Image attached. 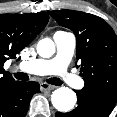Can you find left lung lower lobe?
Instances as JSON below:
<instances>
[{
  "label": "left lung lower lobe",
  "mask_w": 117,
  "mask_h": 117,
  "mask_svg": "<svg viewBox=\"0 0 117 117\" xmlns=\"http://www.w3.org/2000/svg\"><path fill=\"white\" fill-rule=\"evenodd\" d=\"M78 106L69 113L55 114L56 117H108L117 99L94 93L76 90Z\"/></svg>",
  "instance_id": "obj_1"
}]
</instances>
